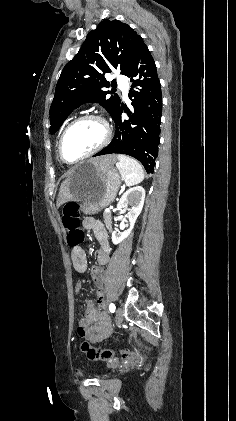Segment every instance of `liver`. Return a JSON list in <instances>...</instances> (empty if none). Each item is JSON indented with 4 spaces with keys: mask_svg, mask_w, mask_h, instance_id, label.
Here are the masks:
<instances>
[{
    "mask_svg": "<svg viewBox=\"0 0 236 421\" xmlns=\"http://www.w3.org/2000/svg\"><path fill=\"white\" fill-rule=\"evenodd\" d=\"M117 156L118 154H103V156H95V158H91V160L92 162H94V164H99V166H112ZM70 174L68 178H65V180H62L60 184L58 198L56 200V206H61V204H63V202H67V200H73Z\"/></svg>",
    "mask_w": 236,
    "mask_h": 421,
    "instance_id": "obj_1",
    "label": "liver"
}]
</instances>
